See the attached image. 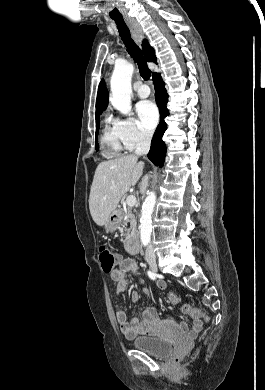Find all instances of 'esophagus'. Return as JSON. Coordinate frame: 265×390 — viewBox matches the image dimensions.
Returning a JSON list of instances; mask_svg holds the SVG:
<instances>
[{
	"label": "esophagus",
	"mask_w": 265,
	"mask_h": 390,
	"mask_svg": "<svg viewBox=\"0 0 265 390\" xmlns=\"http://www.w3.org/2000/svg\"><path fill=\"white\" fill-rule=\"evenodd\" d=\"M125 20L130 28V31H131V34H132L134 41L138 45H141L142 40H143V32H142V28H141L140 24L136 20H134L130 17H125Z\"/></svg>",
	"instance_id": "34e87169"
}]
</instances>
